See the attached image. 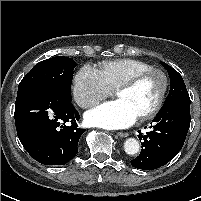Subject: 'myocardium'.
Returning <instances> with one entry per match:
<instances>
[{
    "label": "myocardium",
    "instance_id": "f54148a6",
    "mask_svg": "<svg viewBox=\"0 0 201 201\" xmlns=\"http://www.w3.org/2000/svg\"><path fill=\"white\" fill-rule=\"evenodd\" d=\"M152 74H157L160 76L161 89H160L158 99L156 103L154 104V106L139 117V120L141 121H145L155 117L159 113V111L162 109L166 95H167L168 87H169V80H168L167 74L159 68L152 67V68L133 74L132 76L124 80L122 83H120L118 87L116 88V94H117L121 90L130 89L134 87L141 80H143L144 78Z\"/></svg>",
    "mask_w": 201,
    "mask_h": 201
}]
</instances>
